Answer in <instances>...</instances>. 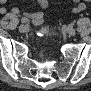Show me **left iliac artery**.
I'll return each mask as SVG.
<instances>
[{
	"label": "left iliac artery",
	"mask_w": 91,
	"mask_h": 91,
	"mask_svg": "<svg viewBox=\"0 0 91 91\" xmlns=\"http://www.w3.org/2000/svg\"><path fill=\"white\" fill-rule=\"evenodd\" d=\"M74 27H75V24H74V23H70V24H69V28H70V29H73Z\"/></svg>",
	"instance_id": "44dca946"
}]
</instances>
